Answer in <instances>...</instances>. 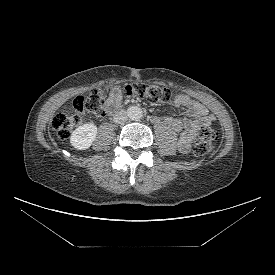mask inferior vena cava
Instances as JSON below:
<instances>
[{"label": "inferior vena cava", "mask_w": 275, "mask_h": 275, "mask_svg": "<svg viewBox=\"0 0 275 275\" xmlns=\"http://www.w3.org/2000/svg\"><path fill=\"white\" fill-rule=\"evenodd\" d=\"M128 119V114L126 111H120L119 113L115 114L113 117V121L117 124L123 123Z\"/></svg>", "instance_id": "obj_1"}]
</instances>
